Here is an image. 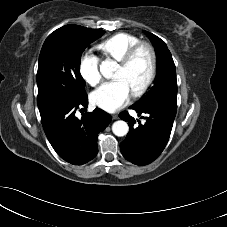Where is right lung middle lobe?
Returning <instances> with one entry per match:
<instances>
[{
	"label": "right lung middle lobe",
	"mask_w": 227,
	"mask_h": 227,
	"mask_svg": "<svg viewBox=\"0 0 227 227\" xmlns=\"http://www.w3.org/2000/svg\"><path fill=\"white\" fill-rule=\"evenodd\" d=\"M104 33L103 30L66 25L47 37L38 62L39 111L62 103L77 102L87 95L85 81L80 74L81 55L90 43Z\"/></svg>",
	"instance_id": "obj_1"
}]
</instances>
